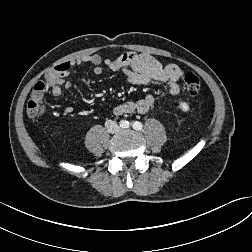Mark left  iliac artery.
Segmentation results:
<instances>
[{
	"instance_id": "obj_1",
	"label": "left iliac artery",
	"mask_w": 252,
	"mask_h": 252,
	"mask_svg": "<svg viewBox=\"0 0 252 252\" xmlns=\"http://www.w3.org/2000/svg\"><path fill=\"white\" fill-rule=\"evenodd\" d=\"M132 126H133V128L135 129V130H142V128H143V125H142V123H140V122H138V121H135V122H133L132 123Z\"/></svg>"
}]
</instances>
